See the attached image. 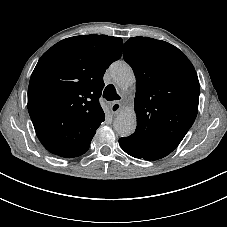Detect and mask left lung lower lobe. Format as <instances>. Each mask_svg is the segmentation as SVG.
Returning a JSON list of instances; mask_svg holds the SVG:
<instances>
[{
    "instance_id": "0a47b994",
    "label": "left lung lower lobe",
    "mask_w": 227,
    "mask_h": 227,
    "mask_svg": "<svg viewBox=\"0 0 227 227\" xmlns=\"http://www.w3.org/2000/svg\"><path fill=\"white\" fill-rule=\"evenodd\" d=\"M119 144L127 154L135 158L157 160L169 154L168 152L159 149L155 145L135 138L132 135L125 138H120Z\"/></svg>"
}]
</instances>
